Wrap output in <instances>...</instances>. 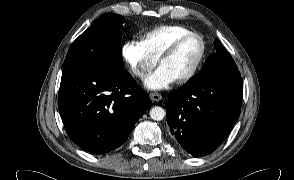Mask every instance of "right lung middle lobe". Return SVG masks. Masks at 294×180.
Returning <instances> with one entry per match:
<instances>
[{"label": "right lung middle lobe", "instance_id": "1", "mask_svg": "<svg viewBox=\"0 0 294 180\" xmlns=\"http://www.w3.org/2000/svg\"><path fill=\"white\" fill-rule=\"evenodd\" d=\"M124 22L122 16L113 13L99 17L72 43L64 61L62 76L81 69L125 72L120 32Z\"/></svg>", "mask_w": 294, "mask_h": 180}]
</instances>
